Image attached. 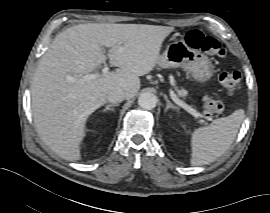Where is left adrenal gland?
I'll return each instance as SVG.
<instances>
[{"label": "left adrenal gland", "mask_w": 270, "mask_h": 213, "mask_svg": "<svg viewBox=\"0 0 270 213\" xmlns=\"http://www.w3.org/2000/svg\"><path fill=\"white\" fill-rule=\"evenodd\" d=\"M164 98L166 100L165 112H167L170 108L171 109H175V106L170 102V100L168 99L167 95H164Z\"/></svg>", "instance_id": "a2214340"}]
</instances>
